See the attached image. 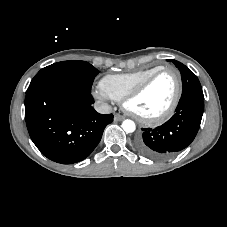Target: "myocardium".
Here are the masks:
<instances>
[{
	"label": "myocardium",
	"instance_id": "myocardium-1",
	"mask_svg": "<svg viewBox=\"0 0 227 227\" xmlns=\"http://www.w3.org/2000/svg\"><path fill=\"white\" fill-rule=\"evenodd\" d=\"M165 72H173L176 81H177V87L176 92L174 95L173 100L171 101L170 105L160 114L152 116V117H145L142 116L135 111H133L129 107V103L139 96L152 82L154 79H156L158 76ZM183 91V84H182V78L180 72L173 68V67H162L161 69L155 71L154 73L150 74L148 77H146L143 81H141L138 85H136L134 88H132L122 99V106L125 109L127 113H129L131 116L139 120L140 122L146 123V124H158L165 120H167L175 111L177 108L179 101L182 96Z\"/></svg>",
	"mask_w": 227,
	"mask_h": 227
}]
</instances>
